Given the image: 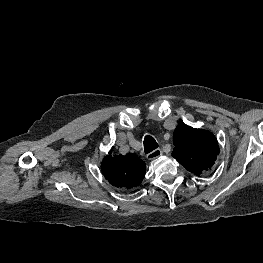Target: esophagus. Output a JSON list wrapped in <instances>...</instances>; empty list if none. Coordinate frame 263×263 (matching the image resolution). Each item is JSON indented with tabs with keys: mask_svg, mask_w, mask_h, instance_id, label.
Listing matches in <instances>:
<instances>
[{
	"mask_svg": "<svg viewBox=\"0 0 263 263\" xmlns=\"http://www.w3.org/2000/svg\"><path fill=\"white\" fill-rule=\"evenodd\" d=\"M162 155V150L160 148L153 150L149 154H147L148 160H154Z\"/></svg>",
	"mask_w": 263,
	"mask_h": 263,
	"instance_id": "34e87169",
	"label": "esophagus"
}]
</instances>
